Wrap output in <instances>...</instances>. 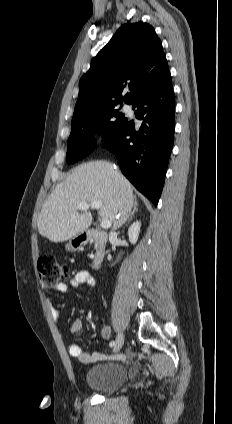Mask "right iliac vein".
Returning <instances> with one entry per match:
<instances>
[{
  "label": "right iliac vein",
  "mask_w": 232,
  "mask_h": 424,
  "mask_svg": "<svg viewBox=\"0 0 232 424\" xmlns=\"http://www.w3.org/2000/svg\"><path fill=\"white\" fill-rule=\"evenodd\" d=\"M124 343V334L123 333H119L116 341H115V345L113 347V351L117 352L121 349V347L123 346Z\"/></svg>",
  "instance_id": "63e3f726"
}]
</instances>
